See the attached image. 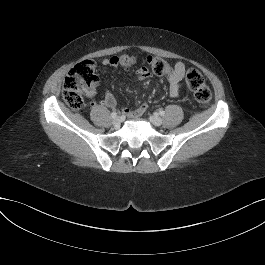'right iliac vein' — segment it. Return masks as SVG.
I'll return each mask as SVG.
<instances>
[{
    "instance_id": "obj_1",
    "label": "right iliac vein",
    "mask_w": 265,
    "mask_h": 265,
    "mask_svg": "<svg viewBox=\"0 0 265 265\" xmlns=\"http://www.w3.org/2000/svg\"><path fill=\"white\" fill-rule=\"evenodd\" d=\"M112 124L115 128H118L121 124V119L119 117H116L112 120Z\"/></svg>"
}]
</instances>
